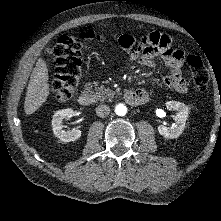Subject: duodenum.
<instances>
[{
	"label": "duodenum",
	"instance_id": "410a0bca",
	"mask_svg": "<svg viewBox=\"0 0 221 221\" xmlns=\"http://www.w3.org/2000/svg\"><path fill=\"white\" fill-rule=\"evenodd\" d=\"M125 100L131 105H139L146 102V98L139 92L133 90H127L124 93ZM78 103L82 106H90L92 104V97L87 92H82L78 97Z\"/></svg>",
	"mask_w": 221,
	"mask_h": 221
}]
</instances>
